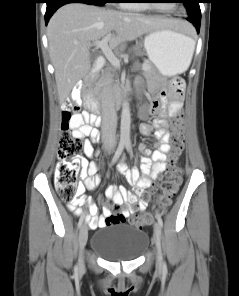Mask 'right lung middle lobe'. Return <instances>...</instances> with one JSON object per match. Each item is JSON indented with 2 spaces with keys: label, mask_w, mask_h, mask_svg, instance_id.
Wrapping results in <instances>:
<instances>
[{
  "label": "right lung middle lobe",
  "mask_w": 239,
  "mask_h": 296,
  "mask_svg": "<svg viewBox=\"0 0 239 296\" xmlns=\"http://www.w3.org/2000/svg\"><path fill=\"white\" fill-rule=\"evenodd\" d=\"M87 1L89 3H91L92 5H98V6H102L105 3L109 2V0H84Z\"/></svg>",
  "instance_id": "obj_1"
}]
</instances>
